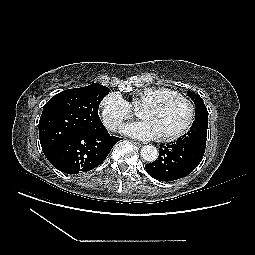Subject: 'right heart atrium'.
<instances>
[{"mask_svg": "<svg viewBox=\"0 0 255 255\" xmlns=\"http://www.w3.org/2000/svg\"><path fill=\"white\" fill-rule=\"evenodd\" d=\"M100 113L104 125L110 130H116L132 115L129 103L116 92L109 93L102 99Z\"/></svg>", "mask_w": 255, "mask_h": 255, "instance_id": "1", "label": "right heart atrium"}]
</instances>
